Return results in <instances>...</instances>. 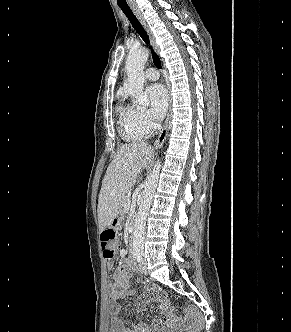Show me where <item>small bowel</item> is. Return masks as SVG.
Here are the masks:
<instances>
[{
    "label": "small bowel",
    "instance_id": "small-bowel-1",
    "mask_svg": "<svg viewBox=\"0 0 291 332\" xmlns=\"http://www.w3.org/2000/svg\"><path fill=\"white\" fill-rule=\"evenodd\" d=\"M120 255V262L113 272L112 281L109 285L110 309L115 314L111 325L112 332H162L168 327L176 326L179 323V318L170 309L169 302L161 299L159 291L152 286H147L144 294L140 297L137 311L141 313L144 311L147 303L155 302L158 304L159 309L165 311L166 320L153 321L151 328L144 323L132 324L126 327L121 318L117 316L119 312L118 301L130 294L129 280L135 271L134 264L126 257L124 250H121ZM108 265L109 267L112 266L111 263Z\"/></svg>",
    "mask_w": 291,
    "mask_h": 332
}]
</instances>
